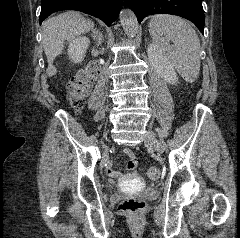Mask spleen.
<instances>
[{"label":"spleen","instance_id":"3e777b00","mask_svg":"<svg viewBox=\"0 0 240 238\" xmlns=\"http://www.w3.org/2000/svg\"><path fill=\"white\" fill-rule=\"evenodd\" d=\"M153 42L168 55L187 82H194L200 71V41L195 30L184 19L172 15H155L149 22ZM171 39L173 45L168 43Z\"/></svg>","mask_w":240,"mask_h":238}]
</instances>
